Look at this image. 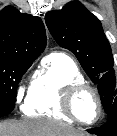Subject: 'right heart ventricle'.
I'll return each mask as SVG.
<instances>
[{"label":"right heart ventricle","mask_w":117,"mask_h":136,"mask_svg":"<svg viewBox=\"0 0 117 136\" xmlns=\"http://www.w3.org/2000/svg\"><path fill=\"white\" fill-rule=\"evenodd\" d=\"M76 83H85L76 62L65 53H50L33 76L23 112L33 117L73 122L62 110V94L67 87Z\"/></svg>","instance_id":"e07e8e85"}]
</instances>
